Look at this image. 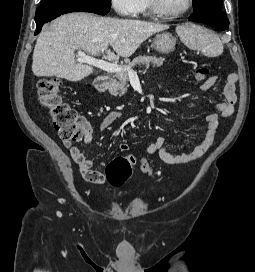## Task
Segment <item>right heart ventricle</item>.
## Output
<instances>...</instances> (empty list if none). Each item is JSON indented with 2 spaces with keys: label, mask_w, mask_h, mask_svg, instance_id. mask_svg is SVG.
<instances>
[{
  "label": "right heart ventricle",
  "mask_w": 255,
  "mask_h": 272,
  "mask_svg": "<svg viewBox=\"0 0 255 272\" xmlns=\"http://www.w3.org/2000/svg\"><path fill=\"white\" fill-rule=\"evenodd\" d=\"M138 13H142L144 15H151V11H150L149 5H148V0H140L139 1Z\"/></svg>",
  "instance_id": "1"
}]
</instances>
